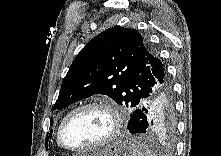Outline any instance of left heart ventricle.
<instances>
[{
  "label": "left heart ventricle",
  "instance_id": "left-heart-ventricle-1",
  "mask_svg": "<svg viewBox=\"0 0 221 156\" xmlns=\"http://www.w3.org/2000/svg\"><path fill=\"white\" fill-rule=\"evenodd\" d=\"M111 129L110 115L100 108L85 109L74 115L64 130V141L71 147H85L102 140Z\"/></svg>",
  "mask_w": 221,
  "mask_h": 156
}]
</instances>
